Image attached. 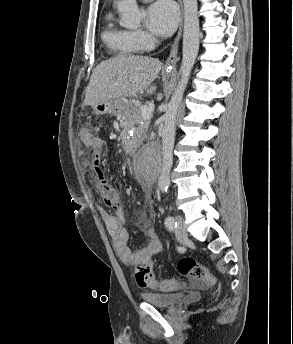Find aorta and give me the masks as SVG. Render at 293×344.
Masks as SVG:
<instances>
[{"label":"aorta","instance_id":"762f6f07","mask_svg":"<svg viewBox=\"0 0 293 344\" xmlns=\"http://www.w3.org/2000/svg\"><path fill=\"white\" fill-rule=\"evenodd\" d=\"M184 5V30L182 46V62L180 66V80L174 89L163 115L164 127L162 130V168L158 180L161 192H166L170 184V170L173 164V147L175 141L176 116L181 105L185 88L188 84L191 70L194 66L200 41V26L198 18L197 0H183ZM121 17L120 24L133 28L140 24L145 12L139 9L136 0H121L118 5ZM155 159L146 153H141L137 159V169L143 172L153 170Z\"/></svg>","mask_w":293,"mask_h":344}]
</instances>
